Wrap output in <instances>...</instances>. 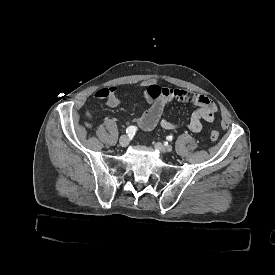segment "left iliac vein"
Returning <instances> with one entry per match:
<instances>
[{
  "label": "left iliac vein",
  "mask_w": 275,
  "mask_h": 275,
  "mask_svg": "<svg viewBox=\"0 0 275 275\" xmlns=\"http://www.w3.org/2000/svg\"><path fill=\"white\" fill-rule=\"evenodd\" d=\"M154 147L157 150L161 151L163 154L170 153L173 150L171 145L163 146L162 143H160V142H156Z\"/></svg>",
  "instance_id": "1"
}]
</instances>
